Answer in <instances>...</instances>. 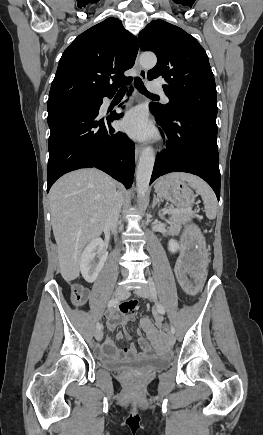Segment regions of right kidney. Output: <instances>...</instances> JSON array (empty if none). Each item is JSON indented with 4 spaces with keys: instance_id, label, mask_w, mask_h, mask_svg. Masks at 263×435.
Returning a JSON list of instances; mask_svg holds the SVG:
<instances>
[{
    "instance_id": "right-kidney-1",
    "label": "right kidney",
    "mask_w": 263,
    "mask_h": 435,
    "mask_svg": "<svg viewBox=\"0 0 263 435\" xmlns=\"http://www.w3.org/2000/svg\"><path fill=\"white\" fill-rule=\"evenodd\" d=\"M108 257V252L100 238L92 240L84 249L80 259V270L84 279L94 282L102 270Z\"/></svg>"
}]
</instances>
